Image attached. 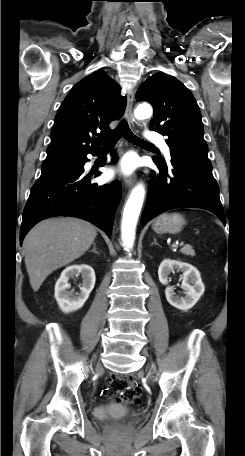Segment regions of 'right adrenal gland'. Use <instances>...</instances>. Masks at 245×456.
<instances>
[{"label": "right adrenal gland", "instance_id": "obj_1", "mask_svg": "<svg viewBox=\"0 0 245 456\" xmlns=\"http://www.w3.org/2000/svg\"><path fill=\"white\" fill-rule=\"evenodd\" d=\"M91 252H94L96 254H99V252L97 251V248H96V244L94 243L93 244V249L91 250Z\"/></svg>", "mask_w": 245, "mask_h": 456}]
</instances>
